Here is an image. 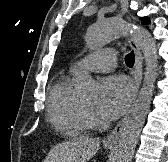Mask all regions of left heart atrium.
Segmentation results:
<instances>
[{
	"label": "left heart atrium",
	"instance_id": "obj_1",
	"mask_svg": "<svg viewBox=\"0 0 168 162\" xmlns=\"http://www.w3.org/2000/svg\"><path fill=\"white\" fill-rule=\"evenodd\" d=\"M133 96L130 81L121 75L105 78L101 84L98 112L106 119H115L128 107Z\"/></svg>",
	"mask_w": 168,
	"mask_h": 162
}]
</instances>
